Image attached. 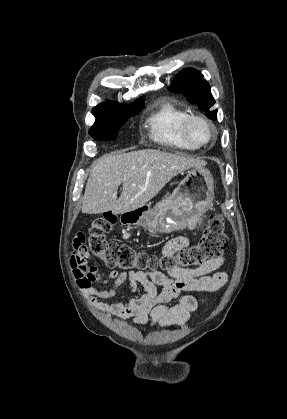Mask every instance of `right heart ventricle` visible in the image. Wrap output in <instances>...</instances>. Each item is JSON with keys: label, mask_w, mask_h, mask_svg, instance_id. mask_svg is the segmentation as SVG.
Returning a JSON list of instances; mask_svg holds the SVG:
<instances>
[{"label": "right heart ventricle", "mask_w": 287, "mask_h": 419, "mask_svg": "<svg viewBox=\"0 0 287 419\" xmlns=\"http://www.w3.org/2000/svg\"><path fill=\"white\" fill-rule=\"evenodd\" d=\"M187 113L169 100L158 101L147 117L149 136L155 143L175 149L193 150L181 134L180 124Z\"/></svg>", "instance_id": "right-heart-ventricle-1"}]
</instances>
